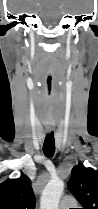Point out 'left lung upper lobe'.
<instances>
[{
  "instance_id": "left-lung-upper-lobe-1",
  "label": "left lung upper lobe",
  "mask_w": 98,
  "mask_h": 209,
  "mask_svg": "<svg viewBox=\"0 0 98 209\" xmlns=\"http://www.w3.org/2000/svg\"><path fill=\"white\" fill-rule=\"evenodd\" d=\"M68 189L83 209H98V171L79 163L72 169Z\"/></svg>"
}]
</instances>
